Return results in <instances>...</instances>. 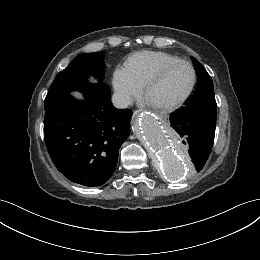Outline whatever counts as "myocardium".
Listing matches in <instances>:
<instances>
[{"label": "myocardium", "instance_id": "f54148a6", "mask_svg": "<svg viewBox=\"0 0 260 260\" xmlns=\"http://www.w3.org/2000/svg\"><path fill=\"white\" fill-rule=\"evenodd\" d=\"M180 64H186L191 69V73H192L191 83H190L187 91L184 93V95L182 97H180L178 100L171 102V103H167V104L156 105L161 110L171 111V110L177 109L178 107L182 106L188 100V98L191 96V94L195 88L196 81H197V74H196V70H195L194 66L189 61L182 60V59L168 63V64L160 67L149 78L148 82L146 83L145 93H146V96L149 97V93H150L151 89L167 74L168 71H170L172 68H174Z\"/></svg>", "mask_w": 260, "mask_h": 260}]
</instances>
